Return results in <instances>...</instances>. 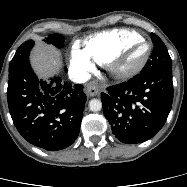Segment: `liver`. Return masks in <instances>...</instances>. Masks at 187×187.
Segmentation results:
<instances>
[{"label":"liver","mask_w":187,"mask_h":187,"mask_svg":"<svg viewBox=\"0 0 187 187\" xmlns=\"http://www.w3.org/2000/svg\"><path fill=\"white\" fill-rule=\"evenodd\" d=\"M31 63L40 78H47L61 67L59 51L50 45L37 44Z\"/></svg>","instance_id":"obj_1"}]
</instances>
